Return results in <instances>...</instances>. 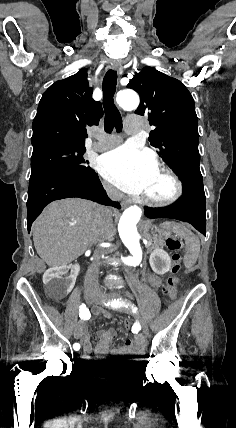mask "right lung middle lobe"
Here are the masks:
<instances>
[{
  "label": "right lung middle lobe",
  "mask_w": 236,
  "mask_h": 428,
  "mask_svg": "<svg viewBox=\"0 0 236 428\" xmlns=\"http://www.w3.org/2000/svg\"><path fill=\"white\" fill-rule=\"evenodd\" d=\"M85 142L47 143L33 148L29 182L59 173L80 174L92 170L85 161Z\"/></svg>",
  "instance_id": "obj_1"
}]
</instances>
